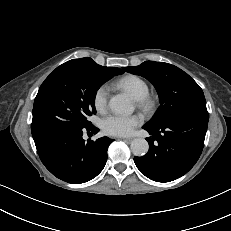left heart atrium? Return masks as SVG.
Here are the masks:
<instances>
[{
  "label": "left heart atrium",
  "instance_id": "left-heart-atrium-1",
  "mask_svg": "<svg viewBox=\"0 0 231 231\" xmlns=\"http://www.w3.org/2000/svg\"><path fill=\"white\" fill-rule=\"evenodd\" d=\"M141 123L142 118L138 115L125 116L111 114L102 120V129L109 135L127 136Z\"/></svg>",
  "mask_w": 231,
  "mask_h": 231
}]
</instances>
